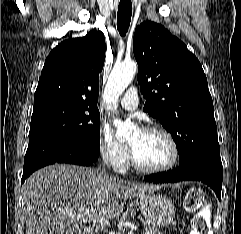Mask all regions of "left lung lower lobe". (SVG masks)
<instances>
[{"label": "left lung lower lobe", "instance_id": "obj_1", "mask_svg": "<svg viewBox=\"0 0 241 234\" xmlns=\"http://www.w3.org/2000/svg\"><path fill=\"white\" fill-rule=\"evenodd\" d=\"M223 167L221 161L200 158L180 166L179 169L145 176V181L154 183H174L179 181H201L210 186L221 199Z\"/></svg>", "mask_w": 241, "mask_h": 234}]
</instances>
